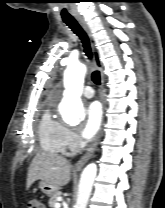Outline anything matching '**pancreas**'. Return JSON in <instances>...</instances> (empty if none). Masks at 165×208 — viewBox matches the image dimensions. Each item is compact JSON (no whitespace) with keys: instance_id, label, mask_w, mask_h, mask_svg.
<instances>
[{"instance_id":"pancreas-1","label":"pancreas","mask_w":165,"mask_h":208,"mask_svg":"<svg viewBox=\"0 0 165 208\" xmlns=\"http://www.w3.org/2000/svg\"><path fill=\"white\" fill-rule=\"evenodd\" d=\"M62 193L60 191H56L49 200V207L55 208V204L57 203V198L61 197Z\"/></svg>"}]
</instances>
